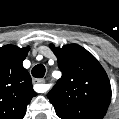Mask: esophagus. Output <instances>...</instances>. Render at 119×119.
Masks as SVG:
<instances>
[{
  "mask_svg": "<svg viewBox=\"0 0 119 119\" xmlns=\"http://www.w3.org/2000/svg\"><path fill=\"white\" fill-rule=\"evenodd\" d=\"M44 82H45L44 79H33V83H34V84L44 83Z\"/></svg>",
  "mask_w": 119,
  "mask_h": 119,
  "instance_id": "obj_1",
  "label": "esophagus"
}]
</instances>
